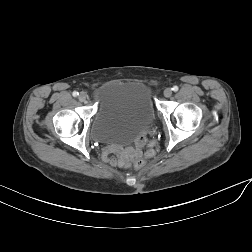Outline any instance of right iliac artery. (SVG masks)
Segmentation results:
<instances>
[{
	"instance_id": "1",
	"label": "right iliac artery",
	"mask_w": 252,
	"mask_h": 252,
	"mask_svg": "<svg viewBox=\"0 0 252 252\" xmlns=\"http://www.w3.org/2000/svg\"><path fill=\"white\" fill-rule=\"evenodd\" d=\"M72 95H73L74 97H77V96L79 95V93H78L77 91H74V92L72 93Z\"/></svg>"
}]
</instances>
